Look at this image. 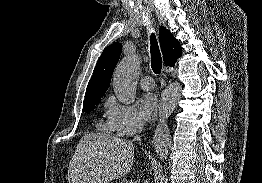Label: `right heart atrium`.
Segmentation results:
<instances>
[{"label":"right heart atrium","instance_id":"obj_1","mask_svg":"<svg viewBox=\"0 0 262 183\" xmlns=\"http://www.w3.org/2000/svg\"><path fill=\"white\" fill-rule=\"evenodd\" d=\"M108 123L121 136H133L143 127V121L133 106L117 102L113 97L107 101Z\"/></svg>","mask_w":262,"mask_h":183}]
</instances>
